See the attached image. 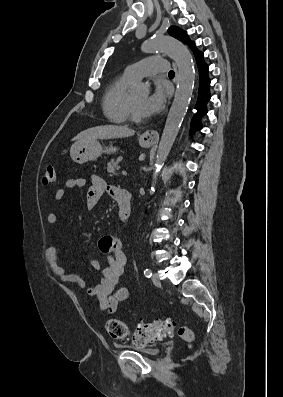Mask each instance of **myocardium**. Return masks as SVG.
Returning a JSON list of instances; mask_svg holds the SVG:
<instances>
[{
  "instance_id": "obj_1",
  "label": "myocardium",
  "mask_w": 283,
  "mask_h": 397,
  "mask_svg": "<svg viewBox=\"0 0 283 397\" xmlns=\"http://www.w3.org/2000/svg\"><path fill=\"white\" fill-rule=\"evenodd\" d=\"M128 118L134 123H141L144 121V118L138 115L131 97L128 101Z\"/></svg>"
}]
</instances>
